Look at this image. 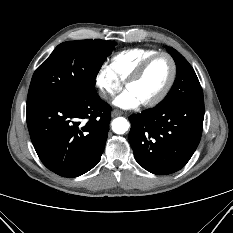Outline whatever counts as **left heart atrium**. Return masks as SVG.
<instances>
[{"label":"left heart atrium","mask_w":233,"mask_h":233,"mask_svg":"<svg viewBox=\"0 0 233 233\" xmlns=\"http://www.w3.org/2000/svg\"><path fill=\"white\" fill-rule=\"evenodd\" d=\"M141 102L138 98L129 90H124L120 95H118L113 104L122 109H134L136 108Z\"/></svg>","instance_id":"39dd6f15"}]
</instances>
